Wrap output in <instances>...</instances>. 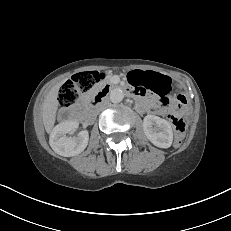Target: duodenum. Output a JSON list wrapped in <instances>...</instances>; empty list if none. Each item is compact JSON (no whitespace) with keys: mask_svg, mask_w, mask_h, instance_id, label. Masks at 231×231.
<instances>
[{"mask_svg":"<svg viewBox=\"0 0 231 231\" xmlns=\"http://www.w3.org/2000/svg\"><path fill=\"white\" fill-rule=\"evenodd\" d=\"M111 86L109 84H104L101 88V90L99 92H97L94 97L92 98V100L90 101V109H94L102 100L103 98L106 96V94L110 91ZM127 93H130L132 95H135L137 98L139 97V94H137L136 91L134 90H127ZM141 106L146 109V104L144 101H141Z\"/></svg>","mask_w":231,"mask_h":231,"instance_id":"410a0bca","label":"duodenum"}]
</instances>
